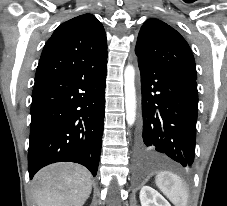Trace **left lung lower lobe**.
Listing matches in <instances>:
<instances>
[{"mask_svg": "<svg viewBox=\"0 0 227 206\" xmlns=\"http://www.w3.org/2000/svg\"><path fill=\"white\" fill-rule=\"evenodd\" d=\"M141 74L140 154L161 152L189 167L194 160L198 91L196 78L138 60Z\"/></svg>", "mask_w": 227, "mask_h": 206, "instance_id": "1", "label": "left lung lower lobe"}]
</instances>
